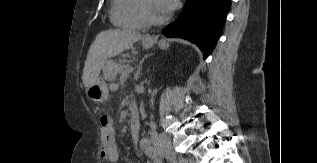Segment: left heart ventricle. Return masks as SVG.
Here are the masks:
<instances>
[{"instance_id":"1","label":"left heart ventricle","mask_w":317,"mask_h":163,"mask_svg":"<svg viewBox=\"0 0 317 163\" xmlns=\"http://www.w3.org/2000/svg\"><path fill=\"white\" fill-rule=\"evenodd\" d=\"M146 5L151 12V14L156 18H162L167 15L162 6L160 5L159 0H145Z\"/></svg>"}]
</instances>
